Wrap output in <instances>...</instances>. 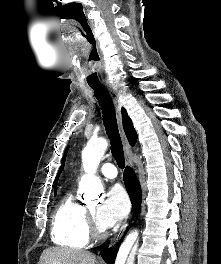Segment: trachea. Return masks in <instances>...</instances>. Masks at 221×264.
Instances as JSON below:
<instances>
[{
  "instance_id": "trachea-1",
  "label": "trachea",
  "mask_w": 221,
  "mask_h": 264,
  "mask_svg": "<svg viewBox=\"0 0 221 264\" xmlns=\"http://www.w3.org/2000/svg\"><path fill=\"white\" fill-rule=\"evenodd\" d=\"M90 87L94 90V95L102 110L105 130L110 139L112 156L119 168L123 169L125 166L124 151L111 97L102 85H90Z\"/></svg>"
}]
</instances>
